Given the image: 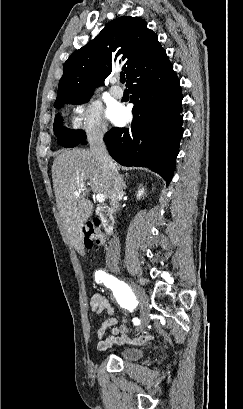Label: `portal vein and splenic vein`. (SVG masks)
I'll list each match as a JSON object with an SVG mask.
<instances>
[{"mask_svg":"<svg viewBox=\"0 0 243 409\" xmlns=\"http://www.w3.org/2000/svg\"><path fill=\"white\" fill-rule=\"evenodd\" d=\"M82 191H83V188L78 189V190H76V191L74 192V194H75L76 196H79ZM96 201L99 202V203H103V202L105 201V195H103V194H97V195H96Z\"/></svg>","mask_w":243,"mask_h":409,"instance_id":"18ae733b","label":"portal vein and splenic vein"}]
</instances>
